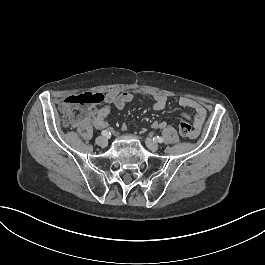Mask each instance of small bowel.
I'll use <instances>...</instances> for the list:
<instances>
[{"label":"small bowel","mask_w":265,"mask_h":265,"mask_svg":"<svg viewBox=\"0 0 265 265\" xmlns=\"http://www.w3.org/2000/svg\"><path fill=\"white\" fill-rule=\"evenodd\" d=\"M154 100L153 108L156 111H162L166 107L167 97L162 94L152 95ZM134 100V92L124 91L119 92L112 90L105 95L103 104L99 108H84L81 111V116L79 119L73 120L72 125L79 128H86L87 126L93 124L97 129H103L107 126V119L111 111V107L122 110L128 103ZM179 106L183 108H190L194 111V115H189L188 113H180V116L189 121L192 126L193 136L191 139H196L201 132L203 124L206 119V109L198 101L187 96H181L178 100ZM165 121H155L153 122V127L155 129H162L166 127ZM123 131L127 130V125L123 123L121 125Z\"/></svg>","instance_id":"1"}]
</instances>
